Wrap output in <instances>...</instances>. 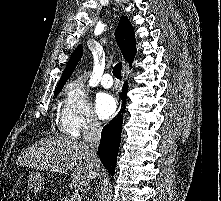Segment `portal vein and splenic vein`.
<instances>
[{
    "label": "portal vein and splenic vein",
    "instance_id": "obj_1",
    "mask_svg": "<svg viewBox=\"0 0 221 201\" xmlns=\"http://www.w3.org/2000/svg\"><path fill=\"white\" fill-rule=\"evenodd\" d=\"M80 200H81V196L79 194H74L69 197V201H80Z\"/></svg>",
    "mask_w": 221,
    "mask_h": 201
}]
</instances>
